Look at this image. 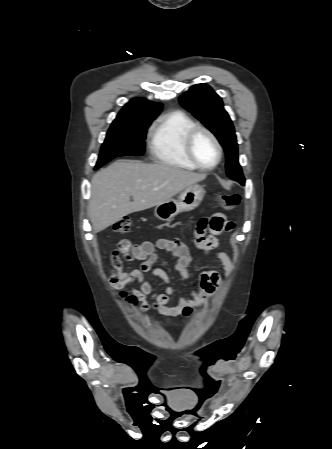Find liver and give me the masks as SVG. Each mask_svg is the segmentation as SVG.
<instances>
[{
    "label": "liver",
    "mask_w": 332,
    "mask_h": 449,
    "mask_svg": "<svg viewBox=\"0 0 332 449\" xmlns=\"http://www.w3.org/2000/svg\"><path fill=\"white\" fill-rule=\"evenodd\" d=\"M206 178L164 164L118 160L92 178L88 215L99 232L124 216L162 204ZM132 196L133 201H130Z\"/></svg>",
    "instance_id": "1"
}]
</instances>
